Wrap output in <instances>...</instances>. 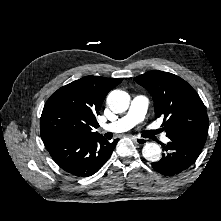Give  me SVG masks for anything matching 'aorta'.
<instances>
[{"label": "aorta", "mask_w": 221, "mask_h": 221, "mask_svg": "<svg viewBox=\"0 0 221 221\" xmlns=\"http://www.w3.org/2000/svg\"><path fill=\"white\" fill-rule=\"evenodd\" d=\"M107 104L115 113H122L129 108L130 96L125 91L113 90L107 96ZM142 155L148 161L157 162L161 158V148L157 143H146Z\"/></svg>", "instance_id": "aorta-1"}]
</instances>
